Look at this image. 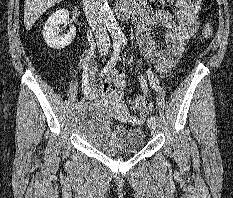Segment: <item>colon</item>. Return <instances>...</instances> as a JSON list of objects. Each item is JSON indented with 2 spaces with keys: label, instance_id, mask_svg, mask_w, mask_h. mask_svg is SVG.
I'll use <instances>...</instances> for the list:
<instances>
[{
  "label": "colon",
  "instance_id": "colon-1",
  "mask_svg": "<svg viewBox=\"0 0 233 198\" xmlns=\"http://www.w3.org/2000/svg\"><path fill=\"white\" fill-rule=\"evenodd\" d=\"M189 3L192 8L198 10L202 3V0H189ZM212 34H213L212 25L210 23H206L202 29L203 38L208 40L211 38ZM146 107H147V102L143 96H139L131 102V109L133 112H136V113L141 112Z\"/></svg>",
  "mask_w": 233,
  "mask_h": 198
}]
</instances>
